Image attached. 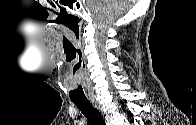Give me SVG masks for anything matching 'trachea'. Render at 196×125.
Wrapping results in <instances>:
<instances>
[{
	"instance_id": "trachea-1",
	"label": "trachea",
	"mask_w": 196,
	"mask_h": 125,
	"mask_svg": "<svg viewBox=\"0 0 196 125\" xmlns=\"http://www.w3.org/2000/svg\"><path fill=\"white\" fill-rule=\"evenodd\" d=\"M73 103L81 110V112L88 118L91 125H105L101 114L93 107L88 99L73 100Z\"/></svg>"
}]
</instances>
